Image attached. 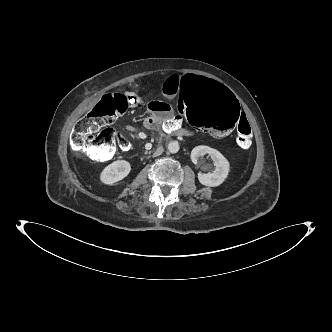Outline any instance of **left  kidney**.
<instances>
[{"instance_id":"obj_1","label":"left kidney","mask_w":332,"mask_h":332,"mask_svg":"<svg viewBox=\"0 0 332 332\" xmlns=\"http://www.w3.org/2000/svg\"><path fill=\"white\" fill-rule=\"evenodd\" d=\"M208 154L213 161L215 169L211 173H198L199 182L208 187H216L221 185L228 176L230 164L228 160L216 149L209 146L199 145L193 148L191 152V160L195 165L200 166L203 170H208L209 167L204 164L201 158Z\"/></svg>"}]
</instances>
